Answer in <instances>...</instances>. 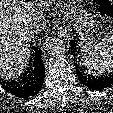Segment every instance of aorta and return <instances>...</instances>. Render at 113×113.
I'll use <instances>...</instances> for the list:
<instances>
[{"instance_id": "1", "label": "aorta", "mask_w": 113, "mask_h": 113, "mask_svg": "<svg viewBox=\"0 0 113 113\" xmlns=\"http://www.w3.org/2000/svg\"><path fill=\"white\" fill-rule=\"evenodd\" d=\"M46 50L50 53L59 54L65 51L66 43L63 39L53 37L47 39L45 43Z\"/></svg>"}]
</instances>
